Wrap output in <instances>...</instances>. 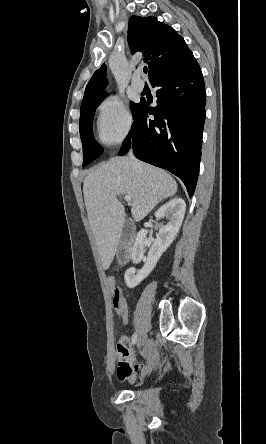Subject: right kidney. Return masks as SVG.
Here are the masks:
<instances>
[{"mask_svg":"<svg viewBox=\"0 0 266 444\" xmlns=\"http://www.w3.org/2000/svg\"><path fill=\"white\" fill-rule=\"evenodd\" d=\"M186 210L185 201L181 198H174L168 203L161 206L155 213L157 219L168 217L169 222L160 227L156 239L149 250L147 260L144 267L136 273L135 268H129L125 272V283L129 288H134L141 283L154 269L161 255L167 250L175 239L184 219ZM147 230L142 229L139 231L134 246L131 250L132 262L139 263L144 256L145 247L147 245L145 237Z\"/></svg>","mask_w":266,"mask_h":444,"instance_id":"obj_1","label":"right kidney"}]
</instances>
